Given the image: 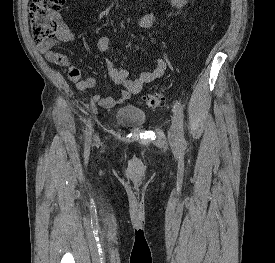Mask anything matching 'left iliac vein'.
Returning a JSON list of instances; mask_svg holds the SVG:
<instances>
[{
    "instance_id": "1",
    "label": "left iliac vein",
    "mask_w": 275,
    "mask_h": 263,
    "mask_svg": "<svg viewBox=\"0 0 275 263\" xmlns=\"http://www.w3.org/2000/svg\"><path fill=\"white\" fill-rule=\"evenodd\" d=\"M168 138L171 144H177L179 142V124L177 117L173 119V123L168 131Z\"/></svg>"
}]
</instances>
